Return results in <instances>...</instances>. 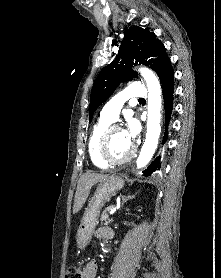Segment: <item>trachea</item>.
<instances>
[{
    "label": "trachea",
    "mask_w": 221,
    "mask_h": 278,
    "mask_svg": "<svg viewBox=\"0 0 221 278\" xmlns=\"http://www.w3.org/2000/svg\"><path fill=\"white\" fill-rule=\"evenodd\" d=\"M139 101H144V99H143V98H140Z\"/></svg>",
    "instance_id": "trachea-1"
}]
</instances>
